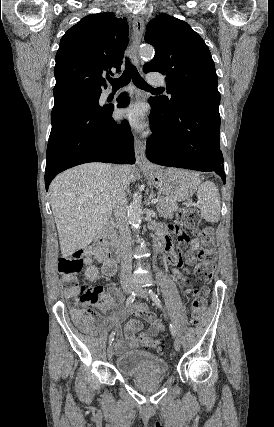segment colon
Instances as JSON below:
<instances>
[{"instance_id":"5ec220e1","label":"colon","mask_w":274,"mask_h":427,"mask_svg":"<svg viewBox=\"0 0 274 427\" xmlns=\"http://www.w3.org/2000/svg\"><path fill=\"white\" fill-rule=\"evenodd\" d=\"M179 222L190 230L197 228L200 222L199 214L191 207L183 206L177 213ZM178 231V226L175 227ZM198 243L197 248H215L213 228L211 225L199 230L196 234ZM83 269V257L81 251H75L72 254L60 257L58 261V272L62 276V287L70 306H76L78 303H96L104 295V289L100 285H88L80 281ZM203 295L199 290H195L194 298L190 299L189 308L196 318H207L208 311L205 305H201ZM141 349L165 353L164 345L148 337L140 339Z\"/></svg>"}]
</instances>
